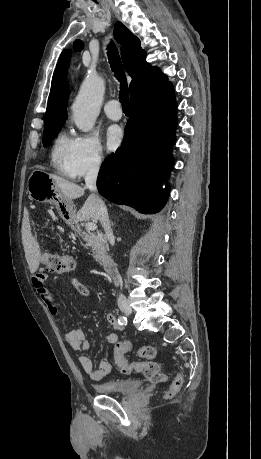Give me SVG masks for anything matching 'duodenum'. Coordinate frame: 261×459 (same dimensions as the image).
I'll return each mask as SVG.
<instances>
[{
    "label": "duodenum",
    "instance_id": "obj_1",
    "mask_svg": "<svg viewBox=\"0 0 261 459\" xmlns=\"http://www.w3.org/2000/svg\"><path fill=\"white\" fill-rule=\"evenodd\" d=\"M75 231L82 237H84V234L79 230V228H75ZM103 268L106 271V273L109 275V277L113 280L118 279L119 277V268L117 264L114 262V260L111 257H105L103 259Z\"/></svg>",
    "mask_w": 261,
    "mask_h": 459
}]
</instances>
